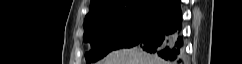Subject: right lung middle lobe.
Masks as SVG:
<instances>
[{
  "mask_svg": "<svg viewBox=\"0 0 242 64\" xmlns=\"http://www.w3.org/2000/svg\"><path fill=\"white\" fill-rule=\"evenodd\" d=\"M160 12L140 9L116 12L84 24V42L91 44L87 64L120 48L136 46L162 19Z\"/></svg>",
  "mask_w": 242,
  "mask_h": 64,
  "instance_id": "1",
  "label": "right lung middle lobe"
}]
</instances>
